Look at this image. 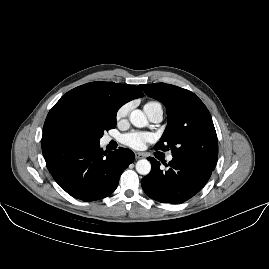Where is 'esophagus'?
I'll return each mask as SVG.
<instances>
[{
  "label": "esophagus",
  "mask_w": 269,
  "mask_h": 269,
  "mask_svg": "<svg viewBox=\"0 0 269 269\" xmlns=\"http://www.w3.org/2000/svg\"><path fill=\"white\" fill-rule=\"evenodd\" d=\"M135 158L136 159H141V158H144V155L142 153H140V152H136L135 153Z\"/></svg>",
  "instance_id": "obj_1"
}]
</instances>
